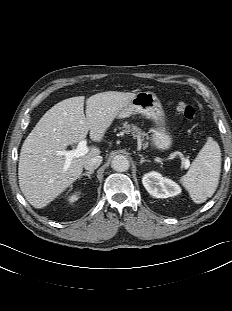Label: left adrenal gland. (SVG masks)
<instances>
[{
  "label": "left adrenal gland",
  "instance_id": "a2214340",
  "mask_svg": "<svg viewBox=\"0 0 232 311\" xmlns=\"http://www.w3.org/2000/svg\"><path fill=\"white\" fill-rule=\"evenodd\" d=\"M139 156L141 157V160H140L141 164L144 162H149V160H146L143 155L140 154Z\"/></svg>",
  "mask_w": 232,
  "mask_h": 311
}]
</instances>
